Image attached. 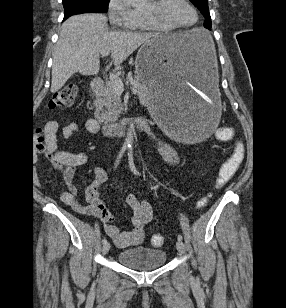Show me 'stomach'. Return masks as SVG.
Segmentation results:
<instances>
[{"instance_id":"stomach-1","label":"stomach","mask_w":286,"mask_h":308,"mask_svg":"<svg viewBox=\"0 0 286 308\" xmlns=\"http://www.w3.org/2000/svg\"><path fill=\"white\" fill-rule=\"evenodd\" d=\"M184 36H153L141 44L135 68L148 87L146 107L179 144H209L205 132L218 125L217 48L201 28Z\"/></svg>"}]
</instances>
